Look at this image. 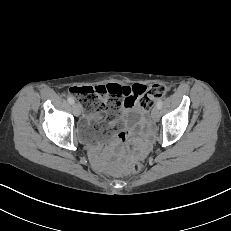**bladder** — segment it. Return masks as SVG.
Listing matches in <instances>:
<instances>
[{
  "label": "bladder",
  "instance_id": "1",
  "mask_svg": "<svg viewBox=\"0 0 231 231\" xmlns=\"http://www.w3.org/2000/svg\"><path fill=\"white\" fill-rule=\"evenodd\" d=\"M96 129L93 125L79 126L76 129V136L83 144H91L96 141Z\"/></svg>",
  "mask_w": 231,
  "mask_h": 231
}]
</instances>
